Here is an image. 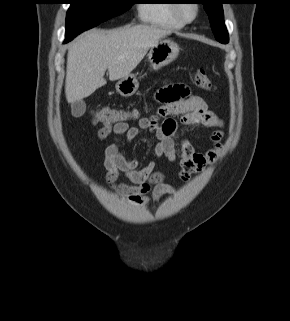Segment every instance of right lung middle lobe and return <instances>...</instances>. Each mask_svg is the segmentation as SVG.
<instances>
[{
	"label": "right lung middle lobe",
	"instance_id": "obj_1",
	"mask_svg": "<svg viewBox=\"0 0 290 321\" xmlns=\"http://www.w3.org/2000/svg\"><path fill=\"white\" fill-rule=\"evenodd\" d=\"M65 43L81 32L128 10L133 0H68Z\"/></svg>",
	"mask_w": 290,
	"mask_h": 321
}]
</instances>
